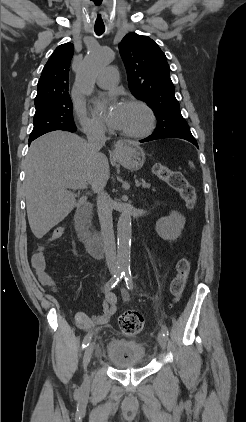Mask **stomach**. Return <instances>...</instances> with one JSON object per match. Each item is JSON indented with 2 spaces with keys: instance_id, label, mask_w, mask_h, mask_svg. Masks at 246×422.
Returning a JSON list of instances; mask_svg holds the SVG:
<instances>
[{
  "instance_id": "stomach-1",
  "label": "stomach",
  "mask_w": 246,
  "mask_h": 422,
  "mask_svg": "<svg viewBox=\"0 0 246 422\" xmlns=\"http://www.w3.org/2000/svg\"><path fill=\"white\" fill-rule=\"evenodd\" d=\"M118 161L130 170H139L145 163L144 150L133 142H123L116 151Z\"/></svg>"
}]
</instances>
